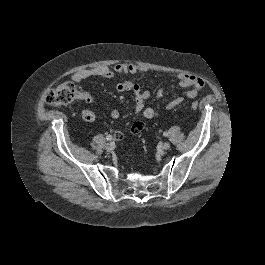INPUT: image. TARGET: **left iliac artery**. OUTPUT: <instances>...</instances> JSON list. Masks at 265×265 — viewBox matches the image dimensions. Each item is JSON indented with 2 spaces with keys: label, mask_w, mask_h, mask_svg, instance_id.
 Returning <instances> with one entry per match:
<instances>
[{
  "label": "left iliac artery",
  "mask_w": 265,
  "mask_h": 265,
  "mask_svg": "<svg viewBox=\"0 0 265 265\" xmlns=\"http://www.w3.org/2000/svg\"><path fill=\"white\" fill-rule=\"evenodd\" d=\"M163 135L167 137L168 136V132H164Z\"/></svg>",
  "instance_id": "obj_1"
}]
</instances>
